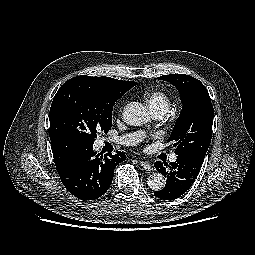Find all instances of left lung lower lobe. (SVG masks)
<instances>
[{
  "instance_id": "1",
  "label": "left lung lower lobe",
  "mask_w": 255,
  "mask_h": 255,
  "mask_svg": "<svg viewBox=\"0 0 255 255\" xmlns=\"http://www.w3.org/2000/svg\"><path fill=\"white\" fill-rule=\"evenodd\" d=\"M202 164L203 160L184 155H179L170 165L160 161L155 162V168L167 179L165 187L156 191L155 196L165 200L179 198L192 186ZM166 166L169 169H166Z\"/></svg>"
}]
</instances>
